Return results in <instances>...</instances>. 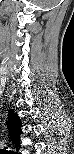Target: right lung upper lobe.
Returning <instances> with one entry per match:
<instances>
[{
    "mask_svg": "<svg viewBox=\"0 0 74 154\" xmlns=\"http://www.w3.org/2000/svg\"><path fill=\"white\" fill-rule=\"evenodd\" d=\"M9 115V127L15 132H19L21 126L19 117L14 113L13 110H10Z\"/></svg>",
    "mask_w": 74,
    "mask_h": 154,
    "instance_id": "1",
    "label": "right lung upper lobe"
}]
</instances>
